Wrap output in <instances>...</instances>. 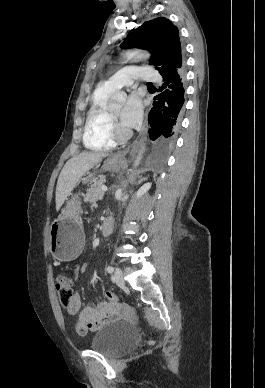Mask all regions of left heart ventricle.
I'll return each mask as SVG.
<instances>
[{"label": "left heart ventricle", "instance_id": "1", "mask_svg": "<svg viewBox=\"0 0 265 388\" xmlns=\"http://www.w3.org/2000/svg\"><path fill=\"white\" fill-rule=\"evenodd\" d=\"M132 87H133V85H131V86H126V87H124V88H122V87H116L113 91H125V92H127V91H130L131 89H132ZM111 97V94L109 95V98ZM113 116H115L116 118H119L120 116H121V112H122V110H121V108H119V109H116V110H113V111H109Z\"/></svg>", "mask_w": 265, "mask_h": 388}]
</instances>
